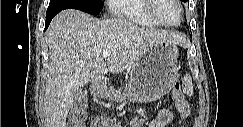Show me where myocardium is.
Masks as SVG:
<instances>
[{"label": "myocardium", "mask_w": 243, "mask_h": 127, "mask_svg": "<svg viewBox=\"0 0 243 127\" xmlns=\"http://www.w3.org/2000/svg\"><path fill=\"white\" fill-rule=\"evenodd\" d=\"M159 1L160 0H147V3H148V12H149L150 17L156 23H158L160 26H163V27H166V28H174V27L179 26L182 23V21L184 19V15H185L184 8L182 6L181 1L174 0L176 2V4L178 5L179 10H180V18H179L178 22H176L174 24H168V23L164 22L160 18V16L158 15L157 6H158Z\"/></svg>", "instance_id": "1"}]
</instances>
